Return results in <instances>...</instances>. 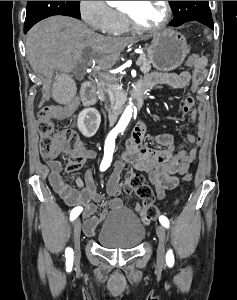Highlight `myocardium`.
<instances>
[{"label": "myocardium", "instance_id": "f54148a6", "mask_svg": "<svg viewBox=\"0 0 237 300\" xmlns=\"http://www.w3.org/2000/svg\"><path fill=\"white\" fill-rule=\"evenodd\" d=\"M163 2H164V6H165L164 19L162 20V22L159 25L153 26V27L144 26V25L139 24L134 19L132 14L124 8L121 9V12H122V15L124 16L126 22L132 29L137 30V31H145V32H158V31L165 29L171 20L172 11H171L170 1H163Z\"/></svg>", "mask_w": 237, "mask_h": 300}]
</instances>
